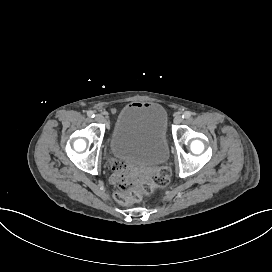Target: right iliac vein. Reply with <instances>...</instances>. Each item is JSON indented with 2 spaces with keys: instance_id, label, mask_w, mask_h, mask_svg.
<instances>
[{
  "instance_id": "right-iliac-vein-1",
  "label": "right iliac vein",
  "mask_w": 272,
  "mask_h": 272,
  "mask_svg": "<svg viewBox=\"0 0 272 272\" xmlns=\"http://www.w3.org/2000/svg\"><path fill=\"white\" fill-rule=\"evenodd\" d=\"M95 120H96V122H98V123H103V122H104V117H103L102 115H100V114H97V115L95 116Z\"/></svg>"
}]
</instances>
